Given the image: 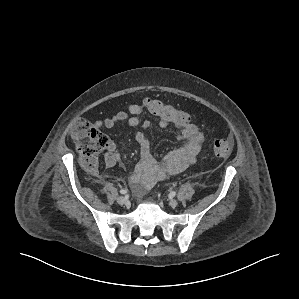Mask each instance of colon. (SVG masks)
Here are the masks:
<instances>
[{
  "label": "colon",
  "mask_w": 299,
  "mask_h": 299,
  "mask_svg": "<svg viewBox=\"0 0 299 299\" xmlns=\"http://www.w3.org/2000/svg\"><path fill=\"white\" fill-rule=\"evenodd\" d=\"M149 114L164 120L170 125L183 126L191 122L189 115L165 101L148 97L143 100ZM71 137L80 154L83 166L96 171L99 154L107 147L106 136L95 128L89 121L78 118L73 122ZM213 153L219 158H228L232 153V143L229 139L219 138L213 144Z\"/></svg>",
  "instance_id": "1"
}]
</instances>
